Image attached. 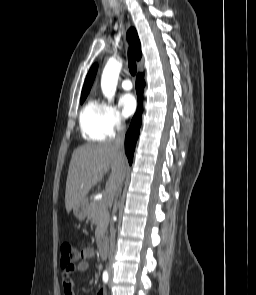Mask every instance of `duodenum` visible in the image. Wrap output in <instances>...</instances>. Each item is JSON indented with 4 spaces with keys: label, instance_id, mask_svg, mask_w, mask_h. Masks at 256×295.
<instances>
[{
    "label": "duodenum",
    "instance_id": "410a0bca",
    "mask_svg": "<svg viewBox=\"0 0 256 295\" xmlns=\"http://www.w3.org/2000/svg\"><path fill=\"white\" fill-rule=\"evenodd\" d=\"M98 250H99V254L100 256L105 259L107 258V248L106 245L104 243V241H100L98 244Z\"/></svg>",
    "mask_w": 256,
    "mask_h": 295
}]
</instances>
